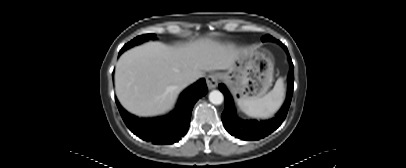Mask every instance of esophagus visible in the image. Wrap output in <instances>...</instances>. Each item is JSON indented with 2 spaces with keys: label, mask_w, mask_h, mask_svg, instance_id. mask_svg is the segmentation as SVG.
I'll list each match as a JSON object with an SVG mask.
<instances>
[{
  "label": "esophagus",
  "mask_w": 406,
  "mask_h": 168,
  "mask_svg": "<svg viewBox=\"0 0 406 168\" xmlns=\"http://www.w3.org/2000/svg\"><path fill=\"white\" fill-rule=\"evenodd\" d=\"M218 81H219V77L217 74H210L207 76L206 78V83H207V87L208 89H214L217 87L218 85Z\"/></svg>",
  "instance_id": "esophagus-1"
}]
</instances>
